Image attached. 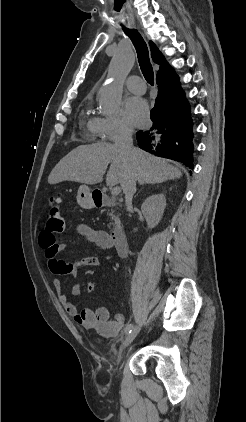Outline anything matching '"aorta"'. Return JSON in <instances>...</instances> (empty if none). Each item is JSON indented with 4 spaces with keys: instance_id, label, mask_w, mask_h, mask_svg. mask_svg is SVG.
<instances>
[{
    "instance_id": "obj_1",
    "label": "aorta",
    "mask_w": 246,
    "mask_h": 422,
    "mask_svg": "<svg viewBox=\"0 0 246 422\" xmlns=\"http://www.w3.org/2000/svg\"><path fill=\"white\" fill-rule=\"evenodd\" d=\"M134 64L131 49H119L111 59L108 83L99 91V104L104 114L117 115L121 105L123 84Z\"/></svg>"
}]
</instances>
